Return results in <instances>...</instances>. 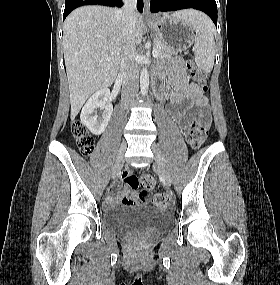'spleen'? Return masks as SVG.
<instances>
[{"label": "spleen", "instance_id": "obj_1", "mask_svg": "<svg viewBox=\"0 0 280 285\" xmlns=\"http://www.w3.org/2000/svg\"><path fill=\"white\" fill-rule=\"evenodd\" d=\"M176 17L188 21L196 32L194 55L197 66L209 73L213 69L215 59V27L203 13L193 10L180 11Z\"/></svg>", "mask_w": 280, "mask_h": 285}]
</instances>
